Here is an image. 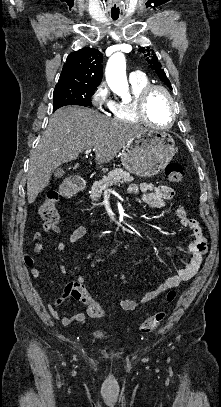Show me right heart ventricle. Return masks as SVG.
<instances>
[{"mask_svg": "<svg viewBox=\"0 0 221 407\" xmlns=\"http://www.w3.org/2000/svg\"><path fill=\"white\" fill-rule=\"evenodd\" d=\"M130 86L132 91V98L130 100H119L114 102L111 110L112 116L116 120L125 122H139L140 119L136 115V103L144 89L151 84L147 77L143 76L139 79L130 80Z\"/></svg>", "mask_w": 221, "mask_h": 407, "instance_id": "right-heart-ventricle-1", "label": "right heart ventricle"}]
</instances>
